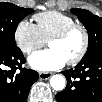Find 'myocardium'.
<instances>
[{"instance_id":"myocardium-1","label":"myocardium","mask_w":102,"mask_h":102,"mask_svg":"<svg viewBox=\"0 0 102 102\" xmlns=\"http://www.w3.org/2000/svg\"><path fill=\"white\" fill-rule=\"evenodd\" d=\"M76 30H80L83 33L84 42H83V46H82L80 52L77 54V56H75L74 58H72L66 62L67 65H69V66H73V65H76L79 62H81L87 53V50L89 47V33H88V30L86 29V27L82 24L74 23V24L66 27L62 31L58 32L57 34H55L53 37H51V39L48 42V43H50L53 41L64 40Z\"/></svg>"}]
</instances>
